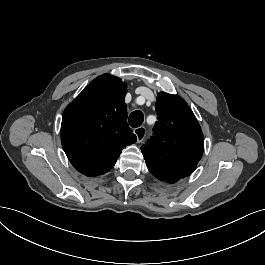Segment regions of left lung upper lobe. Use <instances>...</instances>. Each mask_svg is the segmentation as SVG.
<instances>
[{
	"label": "left lung upper lobe",
	"mask_w": 265,
	"mask_h": 265,
	"mask_svg": "<svg viewBox=\"0 0 265 265\" xmlns=\"http://www.w3.org/2000/svg\"><path fill=\"white\" fill-rule=\"evenodd\" d=\"M154 135L142 145L147 168L173 184L192 174L203 154V133L188 104L178 95L160 92L155 105Z\"/></svg>",
	"instance_id": "obj_1"
}]
</instances>
